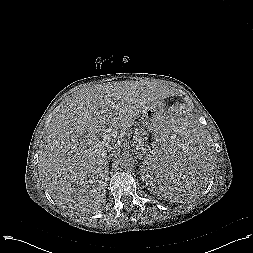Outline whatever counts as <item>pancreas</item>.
<instances>
[{
	"label": "pancreas",
	"mask_w": 253,
	"mask_h": 253,
	"mask_svg": "<svg viewBox=\"0 0 253 253\" xmlns=\"http://www.w3.org/2000/svg\"><path fill=\"white\" fill-rule=\"evenodd\" d=\"M146 132L144 130H141L139 133V138H145Z\"/></svg>",
	"instance_id": "pancreas-1"
}]
</instances>
